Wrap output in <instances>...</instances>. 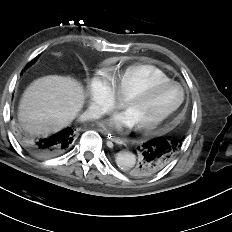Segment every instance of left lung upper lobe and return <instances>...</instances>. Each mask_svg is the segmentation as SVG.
<instances>
[{
    "mask_svg": "<svg viewBox=\"0 0 232 232\" xmlns=\"http://www.w3.org/2000/svg\"><path fill=\"white\" fill-rule=\"evenodd\" d=\"M134 168V167H133ZM133 168H131L130 170H129V173H131V171L133 170Z\"/></svg>",
    "mask_w": 232,
    "mask_h": 232,
    "instance_id": "obj_1",
    "label": "left lung upper lobe"
}]
</instances>
